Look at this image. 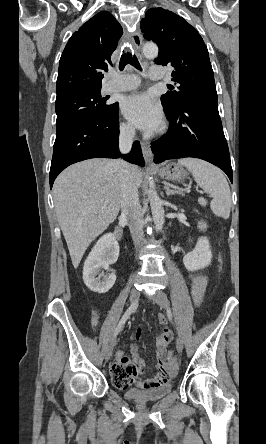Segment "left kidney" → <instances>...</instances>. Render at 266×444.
<instances>
[{
  "instance_id": "1",
  "label": "left kidney",
  "mask_w": 266,
  "mask_h": 444,
  "mask_svg": "<svg viewBox=\"0 0 266 444\" xmlns=\"http://www.w3.org/2000/svg\"><path fill=\"white\" fill-rule=\"evenodd\" d=\"M204 222L198 223L200 230L206 229ZM212 260V252L209 240L206 237H200L193 251L186 254L183 258L184 265L188 271H195L210 265Z\"/></svg>"
}]
</instances>
